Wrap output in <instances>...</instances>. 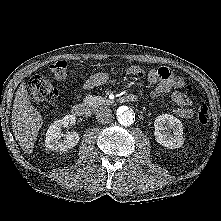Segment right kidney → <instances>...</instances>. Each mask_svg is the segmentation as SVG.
<instances>
[{"instance_id": "ca27d5eb", "label": "right kidney", "mask_w": 221, "mask_h": 221, "mask_svg": "<svg viewBox=\"0 0 221 221\" xmlns=\"http://www.w3.org/2000/svg\"><path fill=\"white\" fill-rule=\"evenodd\" d=\"M76 117L73 115H66L61 120L54 121L48 128L46 133L45 145L48 149L54 151H67L77 145L79 142V134L75 131L63 133L62 128L68 125H74Z\"/></svg>"}]
</instances>
